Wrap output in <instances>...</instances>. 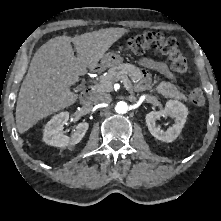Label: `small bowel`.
<instances>
[{"label":"small bowel","instance_id":"small-bowel-1","mask_svg":"<svg viewBox=\"0 0 221 221\" xmlns=\"http://www.w3.org/2000/svg\"><path fill=\"white\" fill-rule=\"evenodd\" d=\"M139 63L144 68L155 70V71L159 72L160 74L164 75L166 78H168L170 80L175 79V75L173 74V72L163 62L156 61V60H153V59H150V58H142L139 61ZM148 81H149V78L145 74L144 77H143L142 85H146L148 83Z\"/></svg>","mask_w":221,"mask_h":221}]
</instances>
